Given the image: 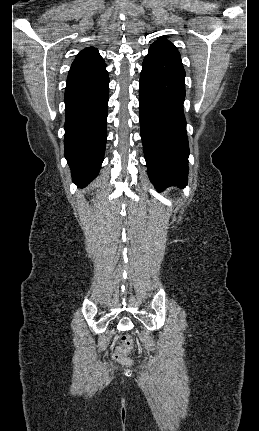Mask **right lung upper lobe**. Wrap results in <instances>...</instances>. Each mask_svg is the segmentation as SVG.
Instances as JSON below:
<instances>
[{"label":"right lung upper lobe","instance_id":"obj_1","mask_svg":"<svg viewBox=\"0 0 259 431\" xmlns=\"http://www.w3.org/2000/svg\"><path fill=\"white\" fill-rule=\"evenodd\" d=\"M102 63H104V59L100 56L98 50L94 47H89L77 55L69 73L92 68Z\"/></svg>","mask_w":259,"mask_h":431}]
</instances>
